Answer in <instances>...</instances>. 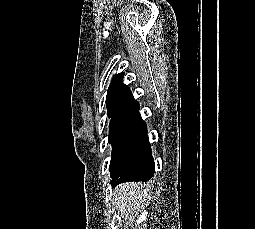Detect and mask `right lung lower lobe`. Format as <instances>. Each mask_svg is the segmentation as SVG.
Here are the masks:
<instances>
[{"instance_id": "obj_1", "label": "right lung lower lobe", "mask_w": 255, "mask_h": 229, "mask_svg": "<svg viewBox=\"0 0 255 229\" xmlns=\"http://www.w3.org/2000/svg\"><path fill=\"white\" fill-rule=\"evenodd\" d=\"M139 108L132 110L126 114L132 121L136 122L139 125L141 130H146L145 122L141 119L139 114ZM155 168L153 158L147 167H141L140 165H134L128 172L119 173L111 175L112 181L111 184L113 186L118 185L123 182L129 181H148L154 175Z\"/></svg>"}]
</instances>
